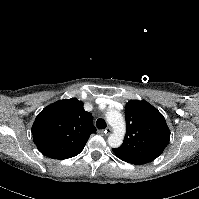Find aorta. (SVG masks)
I'll return each mask as SVG.
<instances>
[{"mask_svg":"<svg viewBox=\"0 0 199 199\" xmlns=\"http://www.w3.org/2000/svg\"><path fill=\"white\" fill-rule=\"evenodd\" d=\"M106 120L113 128V133L108 137V144L117 148L122 144L126 132L124 117L119 111L111 109L106 113Z\"/></svg>","mask_w":199,"mask_h":199,"instance_id":"762f6f07","label":"aorta"}]
</instances>
